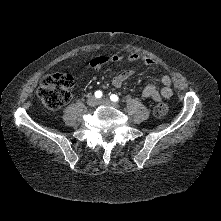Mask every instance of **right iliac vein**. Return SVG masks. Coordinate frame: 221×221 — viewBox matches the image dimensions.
<instances>
[{
  "label": "right iliac vein",
  "instance_id": "1",
  "mask_svg": "<svg viewBox=\"0 0 221 221\" xmlns=\"http://www.w3.org/2000/svg\"><path fill=\"white\" fill-rule=\"evenodd\" d=\"M97 100H96V98L95 97H93V96H89L88 97V99H87V104L89 105V106H91V107H94V106H96L97 105Z\"/></svg>",
  "mask_w": 221,
  "mask_h": 221
}]
</instances>
